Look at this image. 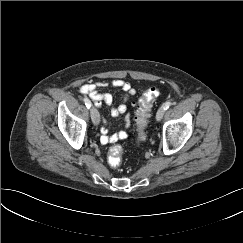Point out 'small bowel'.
<instances>
[{"label":"small bowel","mask_w":243,"mask_h":243,"mask_svg":"<svg viewBox=\"0 0 243 243\" xmlns=\"http://www.w3.org/2000/svg\"><path fill=\"white\" fill-rule=\"evenodd\" d=\"M103 87L119 88L122 91H124L125 95L123 101L117 106H113V96L110 93L99 92V89ZM79 91L83 95L88 96L97 107H101L103 103L112 106L110 111L111 115L113 117H123L124 127L125 128L129 127L130 114L127 113V106L125 102L130 96L135 94V90L132 88L130 83L122 79H115L110 82L88 83V84L81 85L79 87ZM101 133L102 136L100 140L103 144L115 143L127 137V133L124 130H121L114 134H109L106 121L103 122Z\"/></svg>","instance_id":"small-bowel-1"}]
</instances>
